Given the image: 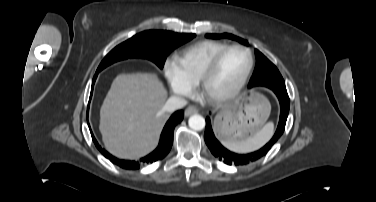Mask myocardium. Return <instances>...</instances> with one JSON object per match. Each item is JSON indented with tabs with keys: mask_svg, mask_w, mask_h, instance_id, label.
<instances>
[{
	"mask_svg": "<svg viewBox=\"0 0 376 202\" xmlns=\"http://www.w3.org/2000/svg\"><path fill=\"white\" fill-rule=\"evenodd\" d=\"M234 49H240L247 53L248 59H249L248 66L243 76L241 77V79L238 81V83L235 86H233L231 89L223 93L215 94L211 92L209 89L210 80L212 76L214 75V73L216 72V70L218 69L219 65L221 64L226 54ZM253 65H254V56L249 48L240 44L229 45L228 47L223 49L221 52H219L204 69L198 82L199 91L201 95L211 104H222V103L229 101L230 99L234 98L244 88V86L246 85L249 79L251 71L253 69Z\"/></svg>",
	"mask_w": 376,
	"mask_h": 202,
	"instance_id": "myocardium-1",
	"label": "myocardium"
}]
</instances>
